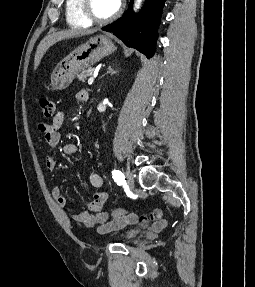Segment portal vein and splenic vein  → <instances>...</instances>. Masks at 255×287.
<instances>
[{
  "label": "portal vein and splenic vein",
  "mask_w": 255,
  "mask_h": 287,
  "mask_svg": "<svg viewBox=\"0 0 255 287\" xmlns=\"http://www.w3.org/2000/svg\"><path fill=\"white\" fill-rule=\"evenodd\" d=\"M96 76H97V74H95V72H94V74H93L92 78H89V80H88V84H89V86H92V84H93V82H94V80H95Z\"/></svg>",
  "instance_id": "18ae733b"
}]
</instances>
